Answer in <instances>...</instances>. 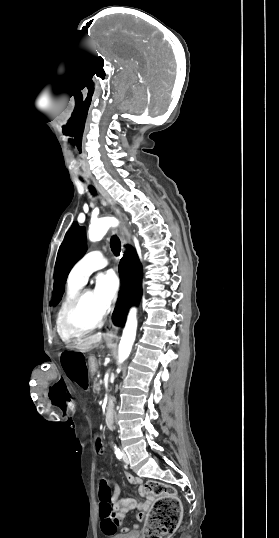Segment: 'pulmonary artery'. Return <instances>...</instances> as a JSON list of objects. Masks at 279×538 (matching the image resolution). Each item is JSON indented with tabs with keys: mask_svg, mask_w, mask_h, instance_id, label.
<instances>
[{
	"mask_svg": "<svg viewBox=\"0 0 279 538\" xmlns=\"http://www.w3.org/2000/svg\"><path fill=\"white\" fill-rule=\"evenodd\" d=\"M108 264V256L100 252H91L84 256L73 270V279L86 283L88 277ZM78 266V267H77Z\"/></svg>",
	"mask_w": 279,
	"mask_h": 538,
	"instance_id": "pulmonary-artery-1",
	"label": "pulmonary artery"
}]
</instances>
